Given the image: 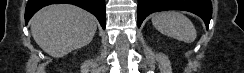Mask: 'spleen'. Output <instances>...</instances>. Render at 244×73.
Segmentation results:
<instances>
[{
	"label": "spleen",
	"mask_w": 244,
	"mask_h": 73,
	"mask_svg": "<svg viewBox=\"0 0 244 73\" xmlns=\"http://www.w3.org/2000/svg\"><path fill=\"white\" fill-rule=\"evenodd\" d=\"M152 24L160 33L185 43H192L197 36L193 23L177 11H166L153 15Z\"/></svg>",
	"instance_id": "obj_1"
}]
</instances>
